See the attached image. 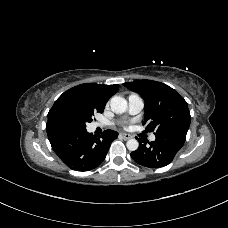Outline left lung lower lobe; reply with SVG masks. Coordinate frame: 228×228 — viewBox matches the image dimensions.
<instances>
[{"label":"left lung lower lobe","instance_id":"obj_1","mask_svg":"<svg viewBox=\"0 0 228 228\" xmlns=\"http://www.w3.org/2000/svg\"><path fill=\"white\" fill-rule=\"evenodd\" d=\"M186 134L187 131L183 130H169L155 134L156 139L152 142L140 139L139 148L131 153V157L136 163L148 168L166 166L184 145Z\"/></svg>","mask_w":228,"mask_h":228}]
</instances>
